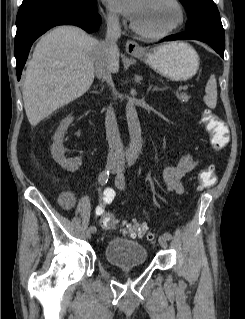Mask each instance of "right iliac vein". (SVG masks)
<instances>
[{
    "label": "right iliac vein",
    "instance_id": "right-iliac-vein-1",
    "mask_svg": "<svg viewBox=\"0 0 245 319\" xmlns=\"http://www.w3.org/2000/svg\"><path fill=\"white\" fill-rule=\"evenodd\" d=\"M106 168H107V169H110V170H112V171L114 172V171L117 170L118 165L115 164L114 162H108L107 165H106ZM92 233H93V232H92L90 229H88V230L86 231V237H87V238H91Z\"/></svg>",
    "mask_w": 245,
    "mask_h": 319
}]
</instances>
